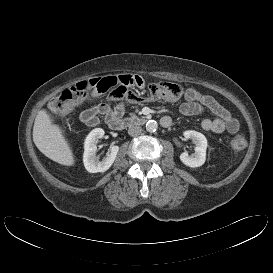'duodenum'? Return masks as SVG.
I'll return each instance as SVG.
<instances>
[{
  "mask_svg": "<svg viewBox=\"0 0 273 273\" xmlns=\"http://www.w3.org/2000/svg\"><path fill=\"white\" fill-rule=\"evenodd\" d=\"M106 120L109 127L115 131L123 130L129 126H143L148 122V118L143 116L120 118L115 115H107ZM170 124H171L170 120L165 118L161 119V125L163 127H168L170 126Z\"/></svg>",
  "mask_w": 273,
  "mask_h": 273,
  "instance_id": "obj_1",
  "label": "duodenum"
}]
</instances>
